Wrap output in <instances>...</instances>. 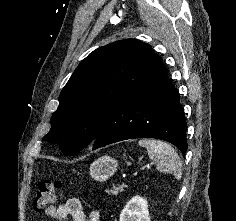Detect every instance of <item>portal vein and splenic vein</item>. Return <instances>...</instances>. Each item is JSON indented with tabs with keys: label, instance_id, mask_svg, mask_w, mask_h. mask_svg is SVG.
Here are the masks:
<instances>
[{
	"label": "portal vein and splenic vein",
	"instance_id": "obj_1",
	"mask_svg": "<svg viewBox=\"0 0 236 221\" xmlns=\"http://www.w3.org/2000/svg\"><path fill=\"white\" fill-rule=\"evenodd\" d=\"M138 175V172H135L134 173V176H137ZM123 187L125 186V184L122 185Z\"/></svg>",
	"mask_w": 236,
	"mask_h": 221
}]
</instances>
